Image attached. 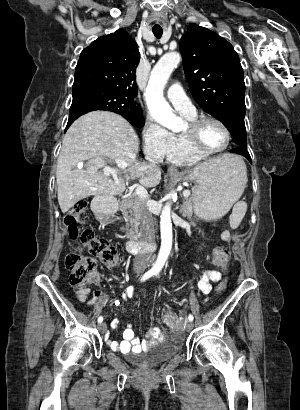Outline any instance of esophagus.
Listing matches in <instances>:
<instances>
[{
	"label": "esophagus",
	"instance_id": "esophagus-1",
	"mask_svg": "<svg viewBox=\"0 0 300 410\" xmlns=\"http://www.w3.org/2000/svg\"><path fill=\"white\" fill-rule=\"evenodd\" d=\"M167 172H168L169 174H176V173H178V171H177V169H176L175 167H169L168 170H167Z\"/></svg>",
	"mask_w": 300,
	"mask_h": 410
}]
</instances>
